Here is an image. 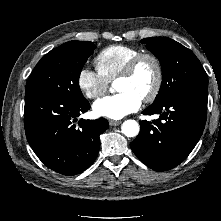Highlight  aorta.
<instances>
[{
  "label": "aorta",
  "mask_w": 221,
  "mask_h": 221,
  "mask_svg": "<svg viewBox=\"0 0 221 221\" xmlns=\"http://www.w3.org/2000/svg\"><path fill=\"white\" fill-rule=\"evenodd\" d=\"M122 133L127 137H135L139 134L140 126L135 120H126L121 126Z\"/></svg>",
  "instance_id": "1"
}]
</instances>
